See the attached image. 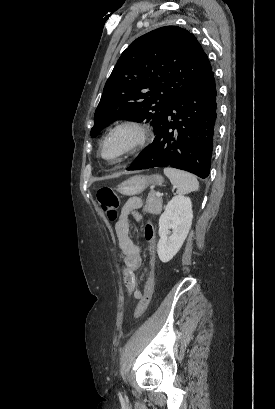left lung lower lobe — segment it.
<instances>
[{"instance_id": "1", "label": "left lung lower lobe", "mask_w": 275, "mask_h": 409, "mask_svg": "<svg viewBox=\"0 0 275 409\" xmlns=\"http://www.w3.org/2000/svg\"><path fill=\"white\" fill-rule=\"evenodd\" d=\"M218 117L214 72L186 88L155 131L153 143L127 170L173 167L206 179Z\"/></svg>"}]
</instances>
